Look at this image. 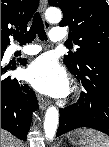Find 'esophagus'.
<instances>
[{
	"instance_id": "1",
	"label": "esophagus",
	"mask_w": 109,
	"mask_h": 147,
	"mask_svg": "<svg viewBox=\"0 0 109 147\" xmlns=\"http://www.w3.org/2000/svg\"><path fill=\"white\" fill-rule=\"evenodd\" d=\"M46 5H47L46 0H40L39 13L42 16H43L44 11L46 9ZM45 27H46V29H49L50 28L49 23L45 22ZM38 103H39V107L42 111L45 110L47 108V106L49 105V101L39 95H38Z\"/></svg>"
}]
</instances>
